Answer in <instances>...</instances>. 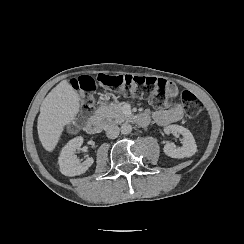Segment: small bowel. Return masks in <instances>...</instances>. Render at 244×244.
Masks as SVG:
<instances>
[{"instance_id":"small-bowel-1","label":"small bowel","mask_w":244,"mask_h":244,"mask_svg":"<svg viewBox=\"0 0 244 244\" xmlns=\"http://www.w3.org/2000/svg\"><path fill=\"white\" fill-rule=\"evenodd\" d=\"M167 88L171 97H175L178 94V89L174 84H169ZM183 116L184 108L180 103L169 108L156 109L153 112V118L160 126H166L178 122L183 118Z\"/></svg>"}]
</instances>
